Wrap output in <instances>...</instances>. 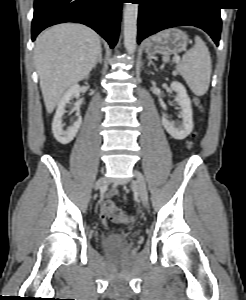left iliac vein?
Segmentation results:
<instances>
[{
	"mask_svg": "<svg viewBox=\"0 0 246 300\" xmlns=\"http://www.w3.org/2000/svg\"><path fill=\"white\" fill-rule=\"evenodd\" d=\"M134 177L132 184L137 187V190L139 192V196L141 199V202L144 206H147L148 203V191L146 187V182L144 176L137 170H134Z\"/></svg>",
	"mask_w": 246,
	"mask_h": 300,
	"instance_id": "obj_1",
	"label": "left iliac vein"
}]
</instances>
